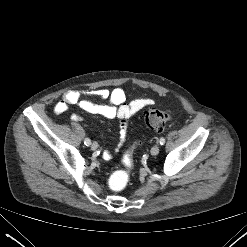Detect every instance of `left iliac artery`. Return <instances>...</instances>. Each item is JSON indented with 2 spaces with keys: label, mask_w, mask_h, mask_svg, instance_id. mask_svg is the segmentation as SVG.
<instances>
[{
  "label": "left iliac artery",
  "mask_w": 247,
  "mask_h": 247,
  "mask_svg": "<svg viewBox=\"0 0 247 247\" xmlns=\"http://www.w3.org/2000/svg\"><path fill=\"white\" fill-rule=\"evenodd\" d=\"M159 143H160V145H164L165 144V139L163 137L160 138Z\"/></svg>",
  "instance_id": "left-iliac-artery-1"
}]
</instances>
